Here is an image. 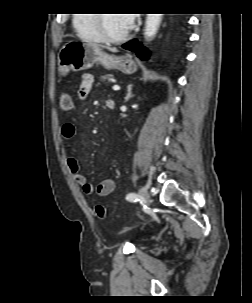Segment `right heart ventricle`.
Segmentation results:
<instances>
[{
  "label": "right heart ventricle",
  "mask_w": 252,
  "mask_h": 303,
  "mask_svg": "<svg viewBox=\"0 0 252 303\" xmlns=\"http://www.w3.org/2000/svg\"><path fill=\"white\" fill-rule=\"evenodd\" d=\"M74 26L79 35L89 41H104L97 23L96 14H78L74 18Z\"/></svg>",
  "instance_id": "e07e8e85"
}]
</instances>
